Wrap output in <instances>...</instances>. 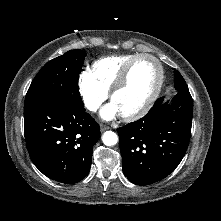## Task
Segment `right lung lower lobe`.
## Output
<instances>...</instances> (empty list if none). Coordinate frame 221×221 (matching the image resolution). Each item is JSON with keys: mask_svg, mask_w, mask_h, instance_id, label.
<instances>
[{"mask_svg": "<svg viewBox=\"0 0 221 221\" xmlns=\"http://www.w3.org/2000/svg\"><path fill=\"white\" fill-rule=\"evenodd\" d=\"M24 130L30 158L45 176L73 184L88 175L100 129L84 106L50 100L29 107Z\"/></svg>", "mask_w": 221, "mask_h": 221, "instance_id": "98d812e1", "label": "right lung lower lobe"}]
</instances>
